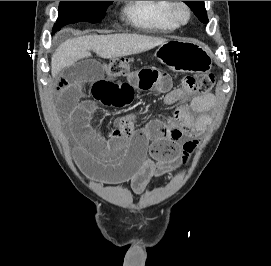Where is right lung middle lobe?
Wrapping results in <instances>:
<instances>
[{
	"mask_svg": "<svg viewBox=\"0 0 271 266\" xmlns=\"http://www.w3.org/2000/svg\"><path fill=\"white\" fill-rule=\"evenodd\" d=\"M112 1H61L59 16L54 25L52 35L61 27L76 22H99L105 15Z\"/></svg>",
	"mask_w": 271,
	"mask_h": 266,
	"instance_id": "dd1d6c3e",
	"label": "right lung middle lobe"
}]
</instances>
